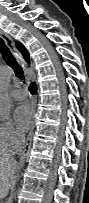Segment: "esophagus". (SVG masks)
Returning <instances> with one entry per match:
<instances>
[{
  "instance_id": "esophagus-1",
  "label": "esophagus",
  "mask_w": 89,
  "mask_h": 203,
  "mask_svg": "<svg viewBox=\"0 0 89 203\" xmlns=\"http://www.w3.org/2000/svg\"><path fill=\"white\" fill-rule=\"evenodd\" d=\"M0 38L4 40L5 44L8 46V48L10 49L12 54L15 56V58L17 59L19 64L22 66V68L26 69L27 68V64L24 61L21 53L16 49L13 39L8 34H6L3 31H0ZM28 83H29V81H28ZM32 109H33V113L35 115L36 96L32 97ZM33 131H34V122H32L31 129H30V132L28 134L25 150H24V152L22 153V155L20 157V163H19L20 166L23 165L26 157L28 156V153H29V150H30V147H31Z\"/></svg>"
}]
</instances>
